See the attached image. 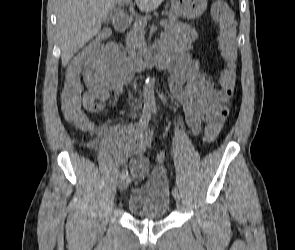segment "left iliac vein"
<instances>
[{"mask_svg": "<svg viewBox=\"0 0 295 250\" xmlns=\"http://www.w3.org/2000/svg\"><path fill=\"white\" fill-rule=\"evenodd\" d=\"M173 197H174L176 203H177V204H180V197H179V194H178V193H175V194H173Z\"/></svg>", "mask_w": 295, "mask_h": 250, "instance_id": "1", "label": "left iliac vein"}]
</instances>
